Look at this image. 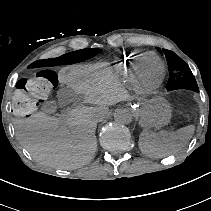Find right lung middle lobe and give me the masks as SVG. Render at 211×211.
I'll return each mask as SVG.
<instances>
[{
    "label": "right lung middle lobe",
    "mask_w": 211,
    "mask_h": 211,
    "mask_svg": "<svg viewBox=\"0 0 211 211\" xmlns=\"http://www.w3.org/2000/svg\"><path fill=\"white\" fill-rule=\"evenodd\" d=\"M102 50L100 49H82L74 52L67 53L59 58H57L58 64H73L81 62L88 58H92Z\"/></svg>",
    "instance_id": "obj_1"
}]
</instances>
